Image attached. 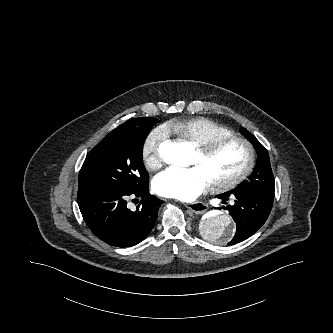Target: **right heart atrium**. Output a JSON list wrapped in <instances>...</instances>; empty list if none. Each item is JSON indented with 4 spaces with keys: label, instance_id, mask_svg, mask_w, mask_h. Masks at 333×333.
Returning <instances> with one entry per match:
<instances>
[{
    "label": "right heart atrium",
    "instance_id": "1",
    "mask_svg": "<svg viewBox=\"0 0 333 333\" xmlns=\"http://www.w3.org/2000/svg\"><path fill=\"white\" fill-rule=\"evenodd\" d=\"M165 140L166 133L163 128L153 130L146 137L142 146V159L147 169L155 170L162 165L160 148Z\"/></svg>",
    "mask_w": 333,
    "mask_h": 333
}]
</instances>
